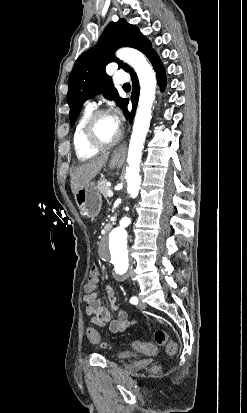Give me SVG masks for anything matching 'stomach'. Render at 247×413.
I'll list each match as a JSON object with an SVG mask.
<instances>
[{"label": "stomach", "mask_w": 247, "mask_h": 413, "mask_svg": "<svg viewBox=\"0 0 247 413\" xmlns=\"http://www.w3.org/2000/svg\"><path fill=\"white\" fill-rule=\"evenodd\" d=\"M122 162H124V158H121V156H112L109 160V166L110 168H115V166H119ZM74 196L82 217L92 219V217L99 215L102 196L95 182H88L85 186H81Z\"/></svg>", "instance_id": "0dacf381"}]
</instances>
